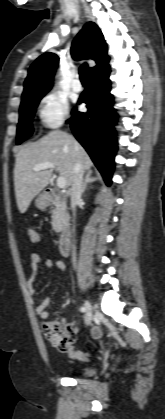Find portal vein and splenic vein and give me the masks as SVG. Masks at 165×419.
Wrapping results in <instances>:
<instances>
[{
    "instance_id": "18ae733b",
    "label": "portal vein and splenic vein",
    "mask_w": 165,
    "mask_h": 419,
    "mask_svg": "<svg viewBox=\"0 0 165 419\" xmlns=\"http://www.w3.org/2000/svg\"><path fill=\"white\" fill-rule=\"evenodd\" d=\"M44 169L54 170L55 166H54V164H52L50 162H45V163L38 164L33 168L34 171H40V170H44ZM56 183H57L58 188H64L66 186V181L61 176L57 177Z\"/></svg>"
}]
</instances>
